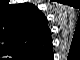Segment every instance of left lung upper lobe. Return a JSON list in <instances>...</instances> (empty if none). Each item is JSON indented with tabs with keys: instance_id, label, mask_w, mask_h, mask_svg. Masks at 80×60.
I'll return each instance as SVG.
<instances>
[{
	"instance_id": "obj_1",
	"label": "left lung upper lobe",
	"mask_w": 80,
	"mask_h": 60,
	"mask_svg": "<svg viewBox=\"0 0 80 60\" xmlns=\"http://www.w3.org/2000/svg\"><path fill=\"white\" fill-rule=\"evenodd\" d=\"M18 8V17H24V27H20L19 32L16 36V49H28L32 44H36L38 38L36 36L37 32L32 31L34 28L32 27V18L31 15L35 14L39 16L40 18L44 19L43 14L38 10L37 7L31 4H24L21 5ZM21 22V24L23 23Z\"/></svg>"
}]
</instances>
